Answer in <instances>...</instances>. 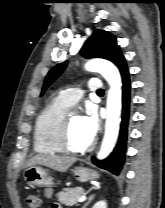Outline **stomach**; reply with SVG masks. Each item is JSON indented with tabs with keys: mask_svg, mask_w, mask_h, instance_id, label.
Instances as JSON below:
<instances>
[{
	"mask_svg": "<svg viewBox=\"0 0 165 208\" xmlns=\"http://www.w3.org/2000/svg\"><path fill=\"white\" fill-rule=\"evenodd\" d=\"M73 173L80 182H87L99 178V175L96 171L85 167H76L73 169ZM24 179L30 186L52 187L53 185V179L49 174V171L36 165L25 169Z\"/></svg>",
	"mask_w": 165,
	"mask_h": 208,
	"instance_id": "0dacf381",
	"label": "stomach"
}]
</instances>
